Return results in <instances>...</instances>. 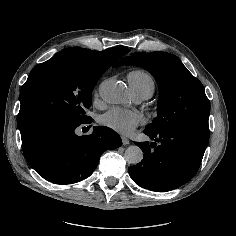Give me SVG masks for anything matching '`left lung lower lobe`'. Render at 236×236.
Here are the masks:
<instances>
[{"instance_id":"obj_1","label":"left lung lower lobe","mask_w":236,"mask_h":236,"mask_svg":"<svg viewBox=\"0 0 236 236\" xmlns=\"http://www.w3.org/2000/svg\"><path fill=\"white\" fill-rule=\"evenodd\" d=\"M144 133L153 141L136 142L143 160L128 168L139 186L158 192L176 189L197 173L209 141V133L192 129H164Z\"/></svg>"}]
</instances>
